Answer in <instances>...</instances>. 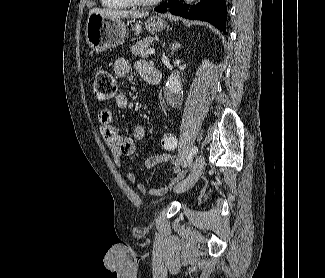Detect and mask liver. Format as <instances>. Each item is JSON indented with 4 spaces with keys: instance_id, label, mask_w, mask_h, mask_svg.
<instances>
[{
    "instance_id": "liver-1",
    "label": "liver",
    "mask_w": 325,
    "mask_h": 278,
    "mask_svg": "<svg viewBox=\"0 0 325 278\" xmlns=\"http://www.w3.org/2000/svg\"><path fill=\"white\" fill-rule=\"evenodd\" d=\"M93 13H98L106 17H112V18H143L148 16V12H140V11H119V10H113V9H101V8H93L89 11V15Z\"/></svg>"
}]
</instances>
